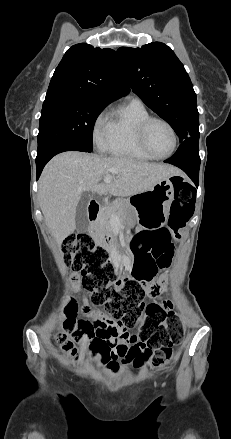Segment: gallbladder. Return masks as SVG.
<instances>
[{
    "label": "gallbladder",
    "mask_w": 231,
    "mask_h": 439,
    "mask_svg": "<svg viewBox=\"0 0 231 439\" xmlns=\"http://www.w3.org/2000/svg\"><path fill=\"white\" fill-rule=\"evenodd\" d=\"M90 202V197L87 194L81 196L76 208V230L78 232H84L88 228L87 207Z\"/></svg>",
    "instance_id": "gallbladder-1"
}]
</instances>
